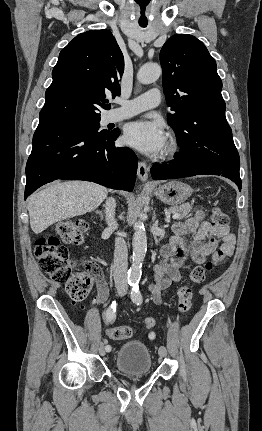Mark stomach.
<instances>
[{"mask_svg": "<svg viewBox=\"0 0 262 431\" xmlns=\"http://www.w3.org/2000/svg\"><path fill=\"white\" fill-rule=\"evenodd\" d=\"M192 188L181 181L173 180L154 189L155 196L163 203L177 207L191 195Z\"/></svg>", "mask_w": 262, "mask_h": 431, "instance_id": "1", "label": "stomach"}]
</instances>
